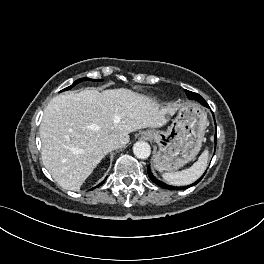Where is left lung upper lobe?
Listing matches in <instances>:
<instances>
[{"instance_id":"obj_1","label":"left lung upper lobe","mask_w":264,"mask_h":264,"mask_svg":"<svg viewBox=\"0 0 264 264\" xmlns=\"http://www.w3.org/2000/svg\"><path fill=\"white\" fill-rule=\"evenodd\" d=\"M185 92H186V94H187V96H188L189 99H195L194 96L197 95L196 93H193V92L188 91V90H185Z\"/></svg>"}]
</instances>
